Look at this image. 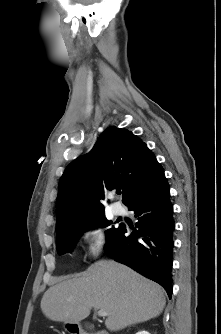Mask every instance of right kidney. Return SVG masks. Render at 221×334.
<instances>
[{
    "mask_svg": "<svg viewBox=\"0 0 221 334\" xmlns=\"http://www.w3.org/2000/svg\"><path fill=\"white\" fill-rule=\"evenodd\" d=\"M136 334H150V333L147 332V331H139V332H137Z\"/></svg>",
    "mask_w": 221,
    "mask_h": 334,
    "instance_id": "right-kidney-1",
    "label": "right kidney"
}]
</instances>
